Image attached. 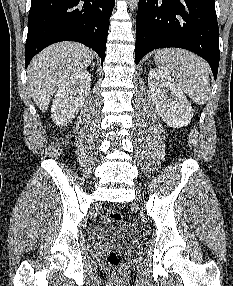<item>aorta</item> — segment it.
Segmentation results:
<instances>
[{
  "label": "aorta",
  "instance_id": "aorta-1",
  "mask_svg": "<svg viewBox=\"0 0 233 286\" xmlns=\"http://www.w3.org/2000/svg\"><path fill=\"white\" fill-rule=\"evenodd\" d=\"M139 0H128V6L131 11H134L138 7Z\"/></svg>",
  "mask_w": 233,
  "mask_h": 286
}]
</instances>
